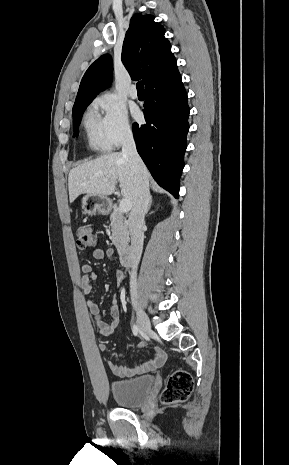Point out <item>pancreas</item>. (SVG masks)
<instances>
[{
  "mask_svg": "<svg viewBox=\"0 0 289 465\" xmlns=\"http://www.w3.org/2000/svg\"><path fill=\"white\" fill-rule=\"evenodd\" d=\"M111 240L118 252H123L129 242L128 223L118 209H114L110 216Z\"/></svg>",
  "mask_w": 289,
  "mask_h": 465,
  "instance_id": "cf45deb5",
  "label": "pancreas"
}]
</instances>
